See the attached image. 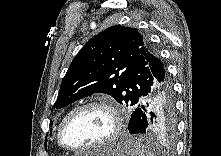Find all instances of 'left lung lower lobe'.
I'll list each match as a JSON object with an SVG mask.
<instances>
[{"label":"left lung lower lobe","instance_id":"left-lung-lower-lobe-1","mask_svg":"<svg viewBox=\"0 0 221 156\" xmlns=\"http://www.w3.org/2000/svg\"><path fill=\"white\" fill-rule=\"evenodd\" d=\"M176 128L173 86L168 72H157L150 80V91L134 108L129 123L130 134L172 136Z\"/></svg>","mask_w":221,"mask_h":156}]
</instances>
